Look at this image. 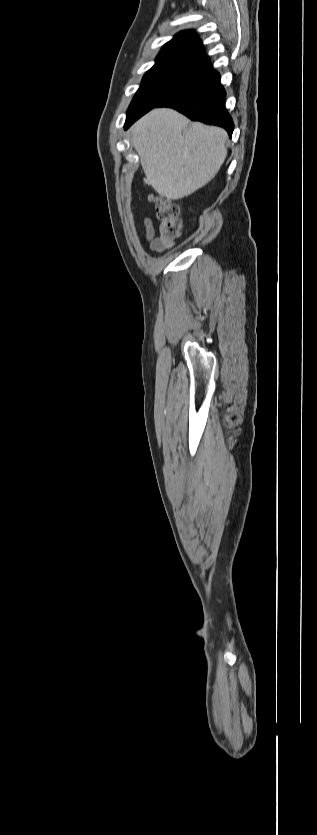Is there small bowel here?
Returning <instances> with one entry per match:
<instances>
[{"mask_svg":"<svg viewBox=\"0 0 317 835\" xmlns=\"http://www.w3.org/2000/svg\"><path fill=\"white\" fill-rule=\"evenodd\" d=\"M144 225L146 229V238L151 241V247L154 250H162L163 246L161 244V238L155 237V230L152 221L150 219H145Z\"/></svg>","mask_w":317,"mask_h":835,"instance_id":"small-bowel-1","label":"small bowel"}]
</instances>
